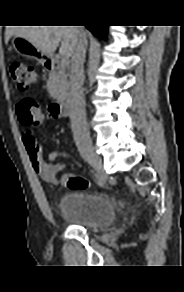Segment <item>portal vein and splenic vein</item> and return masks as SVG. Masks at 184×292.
Segmentation results:
<instances>
[{"mask_svg":"<svg viewBox=\"0 0 184 292\" xmlns=\"http://www.w3.org/2000/svg\"><path fill=\"white\" fill-rule=\"evenodd\" d=\"M61 65L62 66L68 65V57L67 56L62 55V57H61Z\"/></svg>","mask_w":184,"mask_h":292,"instance_id":"obj_1","label":"portal vein and splenic vein"}]
</instances>
